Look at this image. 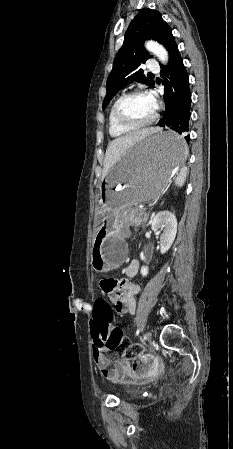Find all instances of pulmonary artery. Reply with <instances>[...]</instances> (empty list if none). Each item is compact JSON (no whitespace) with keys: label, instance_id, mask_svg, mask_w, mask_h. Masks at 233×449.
<instances>
[{"label":"pulmonary artery","instance_id":"e3ab8cb5","mask_svg":"<svg viewBox=\"0 0 233 449\" xmlns=\"http://www.w3.org/2000/svg\"><path fill=\"white\" fill-rule=\"evenodd\" d=\"M148 68L153 71V72H158L159 71V66L157 63L151 61L148 65Z\"/></svg>","mask_w":233,"mask_h":449}]
</instances>
